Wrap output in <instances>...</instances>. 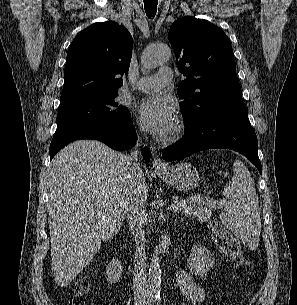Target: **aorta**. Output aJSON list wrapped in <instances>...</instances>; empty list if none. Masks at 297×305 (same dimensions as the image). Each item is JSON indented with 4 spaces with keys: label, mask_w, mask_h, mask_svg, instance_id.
Listing matches in <instances>:
<instances>
[{
    "label": "aorta",
    "mask_w": 297,
    "mask_h": 305,
    "mask_svg": "<svg viewBox=\"0 0 297 305\" xmlns=\"http://www.w3.org/2000/svg\"><path fill=\"white\" fill-rule=\"evenodd\" d=\"M171 57V49L167 45L147 48L142 55L141 63L146 68H154ZM161 266L159 259L155 256L149 266L148 290L150 296L158 297L161 292Z\"/></svg>",
    "instance_id": "aorta-1"
}]
</instances>
